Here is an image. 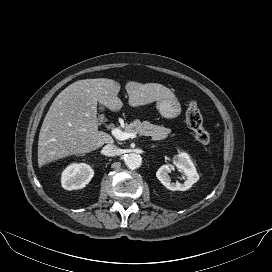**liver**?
<instances>
[{
	"label": "liver",
	"mask_w": 272,
	"mask_h": 272,
	"mask_svg": "<svg viewBox=\"0 0 272 272\" xmlns=\"http://www.w3.org/2000/svg\"><path fill=\"white\" fill-rule=\"evenodd\" d=\"M120 84L112 79L95 78L76 81L61 91L50 106L38 140V165L71 155L89 153L113 138L98 130L97 104L113 112L123 103L118 98ZM128 104L138 107L167 98L174 93L158 83L142 84L135 81L125 85Z\"/></svg>",
	"instance_id": "liver-1"
}]
</instances>
